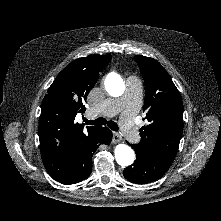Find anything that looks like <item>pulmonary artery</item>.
<instances>
[{"instance_id":"1","label":"pulmonary artery","mask_w":221,"mask_h":221,"mask_svg":"<svg viewBox=\"0 0 221 221\" xmlns=\"http://www.w3.org/2000/svg\"><path fill=\"white\" fill-rule=\"evenodd\" d=\"M142 87L138 79L129 77L126 80V90L121 98L108 99L97 108L89 109L87 116L93 117L98 114L113 116L122 112L121 130L130 142L139 140L138 129L134 122V116L141 103Z\"/></svg>"}]
</instances>
